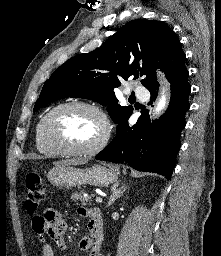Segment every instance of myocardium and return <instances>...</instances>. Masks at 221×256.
I'll return each instance as SVG.
<instances>
[{"label":"myocardium","instance_id":"1","mask_svg":"<svg viewBox=\"0 0 221 256\" xmlns=\"http://www.w3.org/2000/svg\"><path fill=\"white\" fill-rule=\"evenodd\" d=\"M68 108H83L95 113L103 123V134L101 138L93 145L85 148H77L66 145L65 143L54 139L49 132L50 122L53 117L60 111ZM111 134V126L106 113L97 105L85 101H70L57 105L51 109L41 121L40 135L42 141L58 151L60 154L69 156H87L101 151L108 143Z\"/></svg>","mask_w":221,"mask_h":256}]
</instances>
